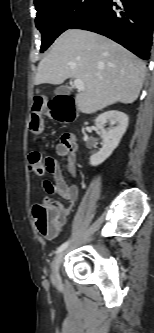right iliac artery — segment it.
<instances>
[{"instance_id": "obj_1", "label": "right iliac artery", "mask_w": 154, "mask_h": 333, "mask_svg": "<svg viewBox=\"0 0 154 333\" xmlns=\"http://www.w3.org/2000/svg\"><path fill=\"white\" fill-rule=\"evenodd\" d=\"M69 244V241H66L65 243H63L61 246H59L56 250V253L62 252L63 250H65L67 248Z\"/></svg>"}]
</instances>
